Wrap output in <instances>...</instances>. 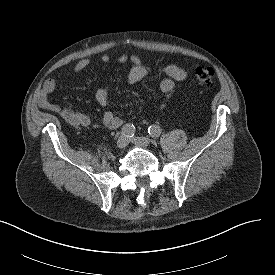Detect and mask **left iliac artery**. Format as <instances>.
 <instances>
[{
  "label": "left iliac artery",
  "instance_id": "obj_1",
  "mask_svg": "<svg viewBox=\"0 0 275 275\" xmlns=\"http://www.w3.org/2000/svg\"><path fill=\"white\" fill-rule=\"evenodd\" d=\"M148 133L151 137L153 138H157L161 135L162 133V129L157 126V125H151L149 128H148Z\"/></svg>",
  "mask_w": 275,
  "mask_h": 275
}]
</instances>
